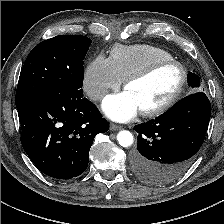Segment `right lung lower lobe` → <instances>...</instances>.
Wrapping results in <instances>:
<instances>
[{"label": "right lung lower lobe", "mask_w": 224, "mask_h": 224, "mask_svg": "<svg viewBox=\"0 0 224 224\" xmlns=\"http://www.w3.org/2000/svg\"><path fill=\"white\" fill-rule=\"evenodd\" d=\"M17 110L25 152L41 172L57 179L82 174L95 136L109 129L97 107L83 96L45 92Z\"/></svg>", "instance_id": "obj_1"}]
</instances>
